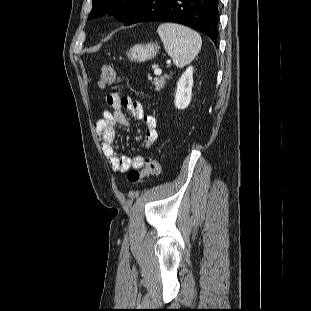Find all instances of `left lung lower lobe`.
<instances>
[{
  "instance_id": "left-lung-lower-lobe-1",
  "label": "left lung lower lobe",
  "mask_w": 311,
  "mask_h": 311,
  "mask_svg": "<svg viewBox=\"0 0 311 311\" xmlns=\"http://www.w3.org/2000/svg\"><path fill=\"white\" fill-rule=\"evenodd\" d=\"M153 21L189 26L216 44L218 0H141L123 19L125 25Z\"/></svg>"
}]
</instances>
